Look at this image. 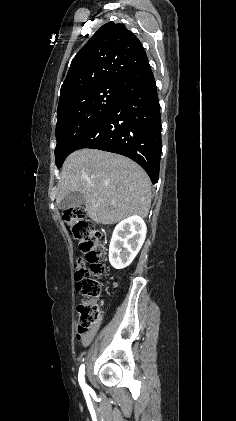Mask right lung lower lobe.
<instances>
[{
	"instance_id": "98d812e1",
	"label": "right lung lower lobe",
	"mask_w": 236,
	"mask_h": 421,
	"mask_svg": "<svg viewBox=\"0 0 236 421\" xmlns=\"http://www.w3.org/2000/svg\"><path fill=\"white\" fill-rule=\"evenodd\" d=\"M122 98L75 145L129 157L158 182L161 157V114L156 82L149 63L119 82Z\"/></svg>"
}]
</instances>
